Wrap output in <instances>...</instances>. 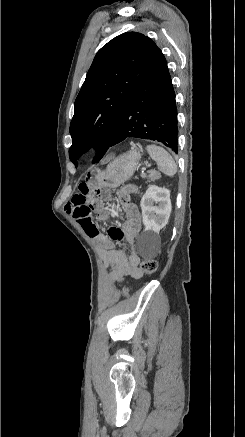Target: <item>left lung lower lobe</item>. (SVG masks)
I'll return each instance as SVG.
<instances>
[{"label": "left lung lower lobe", "instance_id": "0a47b994", "mask_svg": "<svg viewBox=\"0 0 245 437\" xmlns=\"http://www.w3.org/2000/svg\"><path fill=\"white\" fill-rule=\"evenodd\" d=\"M128 137L159 141L178 151L175 92L160 49L129 96L109 147Z\"/></svg>", "mask_w": 245, "mask_h": 437}]
</instances>
